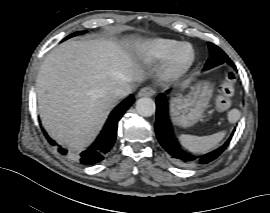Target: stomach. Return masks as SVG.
Wrapping results in <instances>:
<instances>
[{
  "instance_id": "1",
  "label": "stomach",
  "mask_w": 270,
  "mask_h": 213,
  "mask_svg": "<svg viewBox=\"0 0 270 213\" xmlns=\"http://www.w3.org/2000/svg\"><path fill=\"white\" fill-rule=\"evenodd\" d=\"M211 92L207 82H199L191 86L187 94H178L172 98L170 111L173 122L181 127L197 123L208 105Z\"/></svg>"
}]
</instances>
